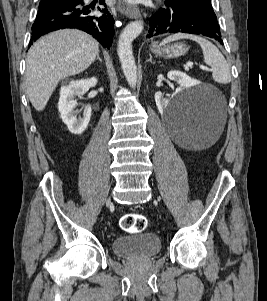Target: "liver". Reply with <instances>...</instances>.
Instances as JSON below:
<instances>
[{
	"label": "liver",
	"mask_w": 267,
	"mask_h": 301,
	"mask_svg": "<svg viewBox=\"0 0 267 301\" xmlns=\"http://www.w3.org/2000/svg\"><path fill=\"white\" fill-rule=\"evenodd\" d=\"M98 51L97 40L77 29L55 31L36 41L26 60L27 95L33 107L42 111L59 81L87 69Z\"/></svg>",
	"instance_id": "liver-1"
}]
</instances>
